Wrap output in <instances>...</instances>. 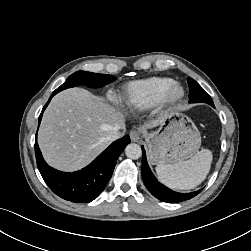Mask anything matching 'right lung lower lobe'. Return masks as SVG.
Masks as SVG:
<instances>
[{
  "label": "right lung lower lobe",
  "mask_w": 251,
  "mask_h": 251,
  "mask_svg": "<svg viewBox=\"0 0 251 251\" xmlns=\"http://www.w3.org/2000/svg\"><path fill=\"white\" fill-rule=\"evenodd\" d=\"M57 93L55 90L43 107L39 116L38 125L41 122L45 108ZM130 142V137L126 135L113 142L87 167L73 173H66L50 167L44 161L36 136V162L44 181L56 195L74 203H88L102 193L113 174L119 155Z\"/></svg>",
  "instance_id": "98d812e1"
}]
</instances>
